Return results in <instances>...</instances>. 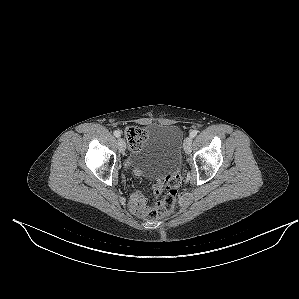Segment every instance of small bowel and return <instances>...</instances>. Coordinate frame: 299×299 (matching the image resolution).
Masks as SVG:
<instances>
[{
    "mask_svg": "<svg viewBox=\"0 0 299 299\" xmlns=\"http://www.w3.org/2000/svg\"><path fill=\"white\" fill-rule=\"evenodd\" d=\"M139 174V173H138ZM131 209L138 215H143L148 211L147 199L139 191H135L131 196Z\"/></svg>",
    "mask_w": 299,
    "mask_h": 299,
    "instance_id": "obj_1",
    "label": "small bowel"
}]
</instances>
